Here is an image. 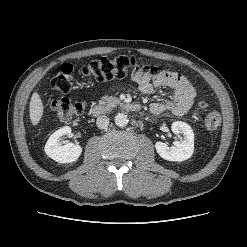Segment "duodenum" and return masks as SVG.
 <instances>
[{"label": "duodenum", "instance_id": "obj_1", "mask_svg": "<svg viewBox=\"0 0 247 247\" xmlns=\"http://www.w3.org/2000/svg\"><path fill=\"white\" fill-rule=\"evenodd\" d=\"M120 107L130 112H139L141 110L140 104L136 102H124L120 104ZM111 109H112V106L110 104L99 103V104H96L91 109V113L94 116H100V115L108 113Z\"/></svg>", "mask_w": 247, "mask_h": 247}]
</instances>
